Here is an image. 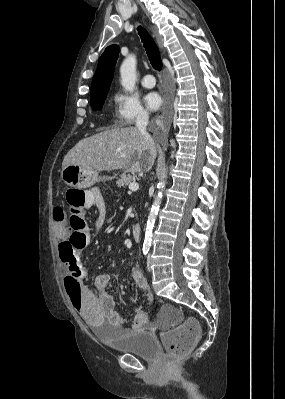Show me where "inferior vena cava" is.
Instances as JSON below:
<instances>
[{
  "instance_id": "1",
  "label": "inferior vena cava",
  "mask_w": 285,
  "mask_h": 399,
  "mask_svg": "<svg viewBox=\"0 0 285 399\" xmlns=\"http://www.w3.org/2000/svg\"><path fill=\"white\" fill-rule=\"evenodd\" d=\"M148 121H149V116L146 113H140L137 116L136 119V127L137 129L140 131V133L145 137L146 141L150 144V145H154V141L152 139V137L149 135V133L147 132L146 128L148 125Z\"/></svg>"
}]
</instances>
